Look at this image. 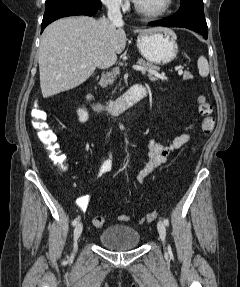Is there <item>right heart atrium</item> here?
Listing matches in <instances>:
<instances>
[{"label": "right heart atrium", "mask_w": 240, "mask_h": 287, "mask_svg": "<svg viewBox=\"0 0 240 287\" xmlns=\"http://www.w3.org/2000/svg\"><path fill=\"white\" fill-rule=\"evenodd\" d=\"M109 9L122 10L126 6V0H101Z\"/></svg>", "instance_id": "obj_1"}]
</instances>
